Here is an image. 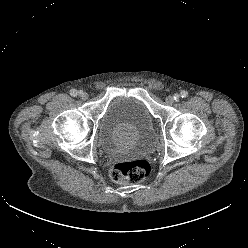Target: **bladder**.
<instances>
[{"mask_svg": "<svg viewBox=\"0 0 248 248\" xmlns=\"http://www.w3.org/2000/svg\"><path fill=\"white\" fill-rule=\"evenodd\" d=\"M98 133L103 147L110 153H148L156 141L150 112L132 96H117L108 102Z\"/></svg>", "mask_w": 248, "mask_h": 248, "instance_id": "bladder-1", "label": "bladder"}]
</instances>
